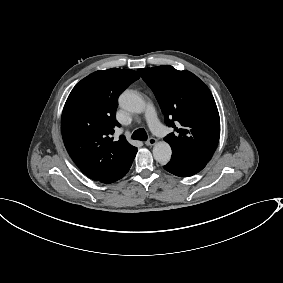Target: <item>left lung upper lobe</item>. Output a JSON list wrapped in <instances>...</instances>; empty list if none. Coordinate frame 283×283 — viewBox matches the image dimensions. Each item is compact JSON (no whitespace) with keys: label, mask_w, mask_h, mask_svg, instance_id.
I'll return each instance as SVG.
<instances>
[{"label":"left lung upper lobe","mask_w":283,"mask_h":283,"mask_svg":"<svg viewBox=\"0 0 283 283\" xmlns=\"http://www.w3.org/2000/svg\"><path fill=\"white\" fill-rule=\"evenodd\" d=\"M138 71L154 92L165 123L177 132L164 138L172 152L208 163L218 145L220 118L206 84L193 73L169 65Z\"/></svg>","instance_id":"5c2ea615"}]
</instances>
